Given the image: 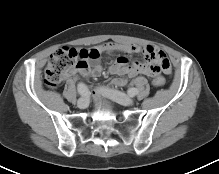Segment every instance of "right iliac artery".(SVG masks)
<instances>
[{
	"label": "right iliac artery",
	"mask_w": 219,
	"mask_h": 174,
	"mask_svg": "<svg viewBox=\"0 0 219 174\" xmlns=\"http://www.w3.org/2000/svg\"><path fill=\"white\" fill-rule=\"evenodd\" d=\"M77 89L80 95L84 97L89 96L90 91L84 83H79Z\"/></svg>",
	"instance_id": "82829eb1"
}]
</instances>
